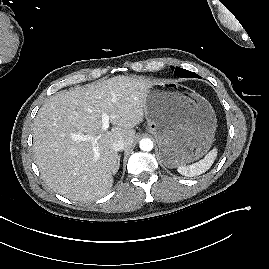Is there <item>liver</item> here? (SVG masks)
<instances>
[{
	"label": "liver",
	"instance_id": "liver-1",
	"mask_svg": "<svg viewBox=\"0 0 269 269\" xmlns=\"http://www.w3.org/2000/svg\"><path fill=\"white\" fill-rule=\"evenodd\" d=\"M152 81L144 77L115 76L88 87L61 91L38 111L33 126L36 164L45 183L73 201H92L113 186L119 155L112 143L132 146L137 124L144 118L146 93ZM102 113L114 125L102 130ZM87 135L91 141L74 138ZM94 147L99 152L94 158Z\"/></svg>",
	"mask_w": 269,
	"mask_h": 269
}]
</instances>
